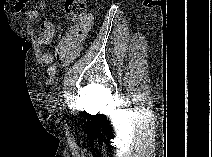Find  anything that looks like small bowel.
Segmentation results:
<instances>
[{
    "label": "small bowel",
    "instance_id": "small-bowel-1",
    "mask_svg": "<svg viewBox=\"0 0 212 157\" xmlns=\"http://www.w3.org/2000/svg\"><path fill=\"white\" fill-rule=\"evenodd\" d=\"M28 0H15L14 9L18 14L25 13L31 20H39L40 16L37 11L26 10ZM93 18L90 14H86L77 25L61 32L58 35L54 54L43 53L41 55V61L47 66V76L49 83H55L57 80V67L54 62L56 58L57 62L62 66H68L75 57H77L81 51L82 41L86 37L87 33L91 29ZM40 36L37 39V43L40 46L49 45L55 35V25L49 20H43L40 22ZM76 33V37H68L67 35Z\"/></svg>",
    "mask_w": 212,
    "mask_h": 157
}]
</instances>
